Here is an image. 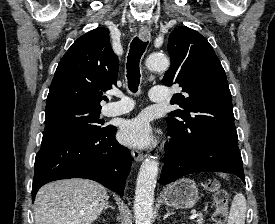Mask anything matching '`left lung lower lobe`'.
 <instances>
[{
	"label": "left lung lower lobe",
	"mask_w": 275,
	"mask_h": 224,
	"mask_svg": "<svg viewBox=\"0 0 275 224\" xmlns=\"http://www.w3.org/2000/svg\"><path fill=\"white\" fill-rule=\"evenodd\" d=\"M171 137L166 147L160 183L169 184L180 177L198 172H224L245 182L238 138L206 132L179 135L168 128Z\"/></svg>",
	"instance_id": "obj_1"
}]
</instances>
